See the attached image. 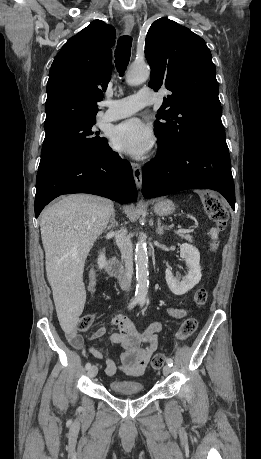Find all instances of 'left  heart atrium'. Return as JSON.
I'll use <instances>...</instances> for the list:
<instances>
[{
	"mask_svg": "<svg viewBox=\"0 0 261 459\" xmlns=\"http://www.w3.org/2000/svg\"><path fill=\"white\" fill-rule=\"evenodd\" d=\"M111 143L117 151L140 158L151 148L153 133L140 119L131 118L114 127Z\"/></svg>",
	"mask_w": 261,
	"mask_h": 459,
	"instance_id": "left-heart-atrium-1",
	"label": "left heart atrium"
}]
</instances>
